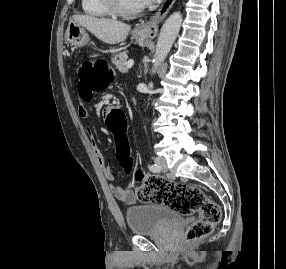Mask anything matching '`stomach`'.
Wrapping results in <instances>:
<instances>
[{"mask_svg":"<svg viewBox=\"0 0 286 269\" xmlns=\"http://www.w3.org/2000/svg\"><path fill=\"white\" fill-rule=\"evenodd\" d=\"M132 36L140 46H144L147 42V38L140 31L134 30ZM65 42L74 47H82L89 42V35L83 26L70 20L65 32Z\"/></svg>","mask_w":286,"mask_h":269,"instance_id":"0dacf381","label":"stomach"}]
</instances>
